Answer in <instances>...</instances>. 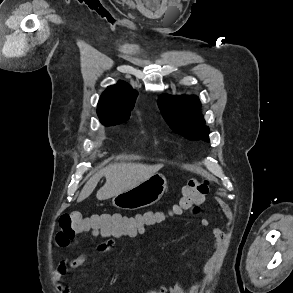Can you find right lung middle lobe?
I'll use <instances>...</instances> for the list:
<instances>
[{"mask_svg":"<svg viewBox=\"0 0 293 293\" xmlns=\"http://www.w3.org/2000/svg\"><path fill=\"white\" fill-rule=\"evenodd\" d=\"M129 119V116H116V117H109L105 119H100L101 123L105 126L116 125L120 124Z\"/></svg>","mask_w":293,"mask_h":293,"instance_id":"right-lung-middle-lobe-1","label":"right lung middle lobe"}]
</instances>
